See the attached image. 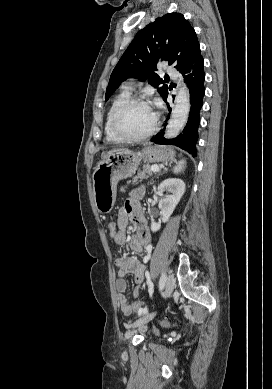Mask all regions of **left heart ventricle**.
<instances>
[{"mask_svg": "<svg viewBox=\"0 0 272 389\" xmlns=\"http://www.w3.org/2000/svg\"><path fill=\"white\" fill-rule=\"evenodd\" d=\"M155 113L151 106L134 104L128 107L121 115L119 126L129 135H141L153 125Z\"/></svg>", "mask_w": 272, "mask_h": 389, "instance_id": "obj_1", "label": "left heart ventricle"}]
</instances>
